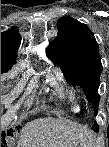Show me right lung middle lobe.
Segmentation results:
<instances>
[{
  "mask_svg": "<svg viewBox=\"0 0 109 147\" xmlns=\"http://www.w3.org/2000/svg\"><path fill=\"white\" fill-rule=\"evenodd\" d=\"M10 68H1V73L7 72Z\"/></svg>",
  "mask_w": 109,
  "mask_h": 147,
  "instance_id": "dd1d6c3e",
  "label": "right lung middle lobe"
}]
</instances>
